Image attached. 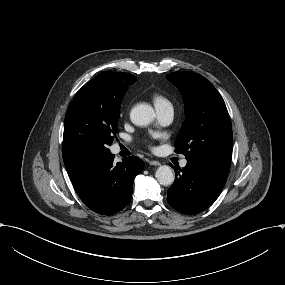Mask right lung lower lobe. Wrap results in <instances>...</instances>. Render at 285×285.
<instances>
[{"instance_id": "obj_1", "label": "right lung lower lobe", "mask_w": 285, "mask_h": 285, "mask_svg": "<svg viewBox=\"0 0 285 285\" xmlns=\"http://www.w3.org/2000/svg\"><path fill=\"white\" fill-rule=\"evenodd\" d=\"M143 166V161L135 156L115 164L114 155L110 154L83 171L72 183L88 208L99 214L112 215L130 202L134 178Z\"/></svg>"}]
</instances>
